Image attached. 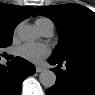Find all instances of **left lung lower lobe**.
Segmentation results:
<instances>
[{"instance_id":"left-lung-lower-lobe-1","label":"left lung lower lobe","mask_w":95,"mask_h":95,"mask_svg":"<svg viewBox=\"0 0 95 95\" xmlns=\"http://www.w3.org/2000/svg\"><path fill=\"white\" fill-rule=\"evenodd\" d=\"M51 64L66 63V70L53 69L56 83L46 90L47 95H95V59L61 61L52 56Z\"/></svg>"}]
</instances>
